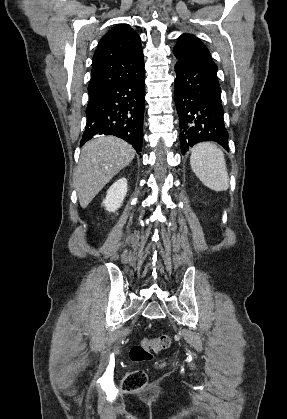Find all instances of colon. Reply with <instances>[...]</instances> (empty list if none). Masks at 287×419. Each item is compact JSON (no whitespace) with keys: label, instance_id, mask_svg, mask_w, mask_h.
I'll return each instance as SVG.
<instances>
[{"label":"colon","instance_id":"obj_1","mask_svg":"<svg viewBox=\"0 0 287 419\" xmlns=\"http://www.w3.org/2000/svg\"><path fill=\"white\" fill-rule=\"evenodd\" d=\"M172 342L168 334L160 335L153 339H143L130 350V359L133 362H147L153 359L154 354L167 349ZM148 383V376L143 370H132L122 380V388L125 391L138 390Z\"/></svg>","mask_w":287,"mask_h":419}]
</instances>
